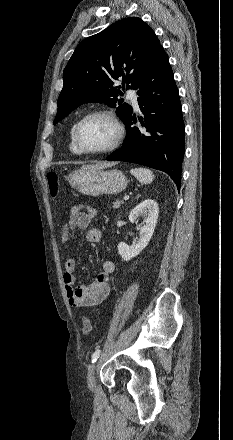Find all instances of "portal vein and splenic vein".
Masks as SVG:
<instances>
[{"label":"portal vein and splenic vein","instance_id":"18ae733b","mask_svg":"<svg viewBox=\"0 0 233 440\" xmlns=\"http://www.w3.org/2000/svg\"><path fill=\"white\" fill-rule=\"evenodd\" d=\"M129 199V196H125L124 197V200L126 201V200H128Z\"/></svg>","mask_w":233,"mask_h":440}]
</instances>
